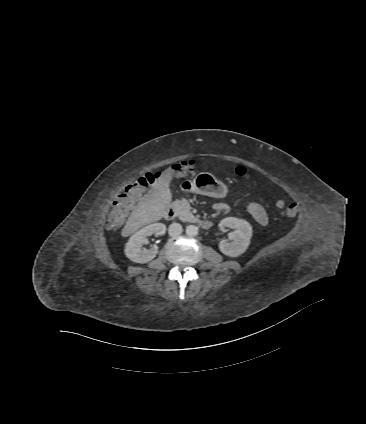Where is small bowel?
<instances>
[{
  "mask_svg": "<svg viewBox=\"0 0 366 424\" xmlns=\"http://www.w3.org/2000/svg\"><path fill=\"white\" fill-rule=\"evenodd\" d=\"M214 209L218 212L224 213L227 211V205L223 202H218L214 204ZM246 211L259 225L265 226L268 224V214L261 204L249 202L246 204Z\"/></svg>",
  "mask_w": 366,
  "mask_h": 424,
  "instance_id": "1",
  "label": "small bowel"
}]
</instances>
